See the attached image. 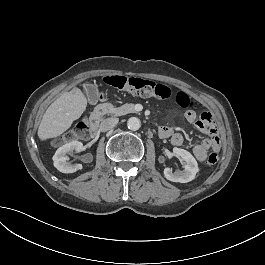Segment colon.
Returning <instances> with one entry per match:
<instances>
[{"label": "colon", "mask_w": 265, "mask_h": 265, "mask_svg": "<svg viewBox=\"0 0 265 265\" xmlns=\"http://www.w3.org/2000/svg\"><path fill=\"white\" fill-rule=\"evenodd\" d=\"M104 83L117 90L127 92L137 97H155L157 99L166 100L173 98L175 102L191 112H196L195 102L184 92L174 91L170 86L164 83L155 82L137 76H124L111 74L104 78ZM71 132L66 137L71 138ZM219 156L213 152L207 156L206 163L214 165L218 162Z\"/></svg>", "instance_id": "obj_1"}]
</instances>
